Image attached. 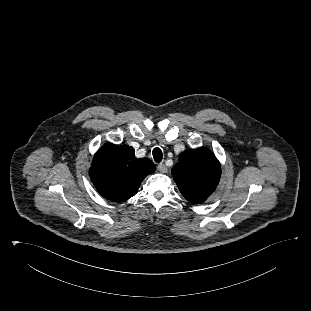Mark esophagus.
I'll return each instance as SVG.
<instances>
[{"instance_id": "obj_1", "label": "esophagus", "mask_w": 311, "mask_h": 311, "mask_svg": "<svg viewBox=\"0 0 311 311\" xmlns=\"http://www.w3.org/2000/svg\"><path fill=\"white\" fill-rule=\"evenodd\" d=\"M157 169L162 173H166L168 171L167 167L164 164H159L157 166Z\"/></svg>"}]
</instances>
